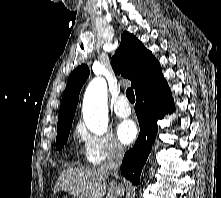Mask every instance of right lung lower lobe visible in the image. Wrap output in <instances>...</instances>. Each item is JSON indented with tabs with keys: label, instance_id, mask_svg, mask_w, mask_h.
<instances>
[{
	"label": "right lung lower lobe",
	"instance_id": "1",
	"mask_svg": "<svg viewBox=\"0 0 221 198\" xmlns=\"http://www.w3.org/2000/svg\"><path fill=\"white\" fill-rule=\"evenodd\" d=\"M136 99L135 112L140 134L134 147L126 152L120 167L123 176L134 185L139 184L142 168L151 152L157 133V120L175 109L170 89L162 73L138 92Z\"/></svg>",
	"mask_w": 221,
	"mask_h": 198
}]
</instances>
